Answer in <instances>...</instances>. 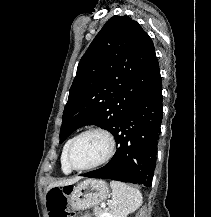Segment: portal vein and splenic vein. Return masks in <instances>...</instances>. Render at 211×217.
I'll list each match as a JSON object with an SVG mask.
<instances>
[{
	"mask_svg": "<svg viewBox=\"0 0 211 217\" xmlns=\"http://www.w3.org/2000/svg\"><path fill=\"white\" fill-rule=\"evenodd\" d=\"M101 207H102V208H105V207H106V204L102 203V204H101Z\"/></svg>",
	"mask_w": 211,
	"mask_h": 217,
	"instance_id": "obj_1",
	"label": "portal vein and splenic vein"
}]
</instances>
